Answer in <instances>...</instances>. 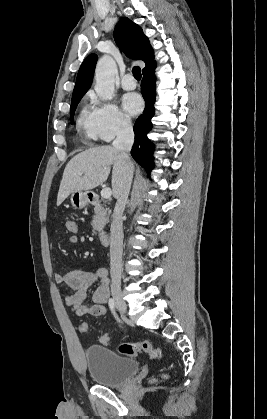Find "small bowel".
<instances>
[{
    "label": "small bowel",
    "mask_w": 267,
    "mask_h": 419,
    "mask_svg": "<svg viewBox=\"0 0 267 419\" xmlns=\"http://www.w3.org/2000/svg\"><path fill=\"white\" fill-rule=\"evenodd\" d=\"M54 279L66 292L64 295L65 305L77 316L97 317L106 313L110 284L106 268L99 267L93 271L74 269L67 272H56ZM96 283L98 286L92 294L91 303L87 304L88 290Z\"/></svg>",
    "instance_id": "c3829d8e"
}]
</instances>
